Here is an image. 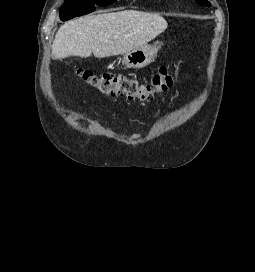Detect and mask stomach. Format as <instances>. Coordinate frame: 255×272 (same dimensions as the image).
Instances as JSON below:
<instances>
[{
    "mask_svg": "<svg viewBox=\"0 0 255 272\" xmlns=\"http://www.w3.org/2000/svg\"><path fill=\"white\" fill-rule=\"evenodd\" d=\"M159 47L144 45L124 54L122 65L126 68L141 69L149 65L158 53Z\"/></svg>",
    "mask_w": 255,
    "mask_h": 272,
    "instance_id": "obj_1",
    "label": "stomach"
}]
</instances>
